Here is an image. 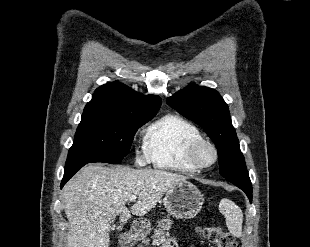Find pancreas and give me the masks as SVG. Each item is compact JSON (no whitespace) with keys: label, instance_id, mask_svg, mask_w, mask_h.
Here are the masks:
<instances>
[{"label":"pancreas","instance_id":"cf45deb5","mask_svg":"<svg viewBox=\"0 0 310 247\" xmlns=\"http://www.w3.org/2000/svg\"><path fill=\"white\" fill-rule=\"evenodd\" d=\"M151 238L153 239L154 245H160L161 247H174L171 243L176 244V238H171L169 232H163L160 229L155 230ZM149 242V239L145 240L146 244H149Z\"/></svg>","mask_w":310,"mask_h":247}]
</instances>
